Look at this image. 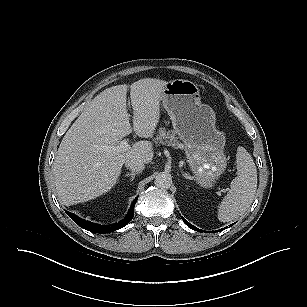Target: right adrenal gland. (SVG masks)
<instances>
[{
    "instance_id": "1",
    "label": "right adrenal gland",
    "mask_w": 307,
    "mask_h": 307,
    "mask_svg": "<svg viewBox=\"0 0 307 307\" xmlns=\"http://www.w3.org/2000/svg\"><path fill=\"white\" fill-rule=\"evenodd\" d=\"M137 174H139V173H138V172L132 171L131 173L125 174V176H131L130 181H133V180L135 179V176H136Z\"/></svg>"
}]
</instances>
